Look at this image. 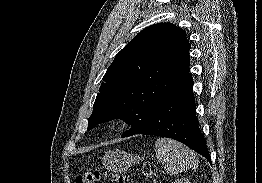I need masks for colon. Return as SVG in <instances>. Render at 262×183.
<instances>
[{
    "label": "colon",
    "instance_id": "colon-1",
    "mask_svg": "<svg viewBox=\"0 0 262 183\" xmlns=\"http://www.w3.org/2000/svg\"><path fill=\"white\" fill-rule=\"evenodd\" d=\"M103 180H111L116 183H139L126 174L109 173L101 170H88L76 177V183H100Z\"/></svg>",
    "mask_w": 262,
    "mask_h": 183
}]
</instances>
